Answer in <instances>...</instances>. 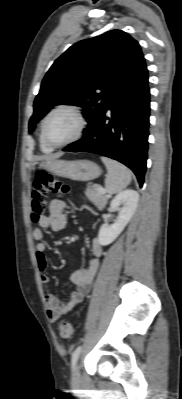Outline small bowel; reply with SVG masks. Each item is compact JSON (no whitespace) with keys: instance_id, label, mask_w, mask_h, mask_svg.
Instances as JSON below:
<instances>
[{"instance_id":"c3829d8e","label":"small bowel","mask_w":182,"mask_h":399,"mask_svg":"<svg viewBox=\"0 0 182 399\" xmlns=\"http://www.w3.org/2000/svg\"><path fill=\"white\" fill-rule=\"evenodd\" d=\"M65 207L63 200L55 198L50 201L49 212L39 221V226L33 230V238L36 244V261L41 271L40 280L43 284H49L51 278L46 274L48 268L47 244L44 242L45 229L51 228L54 231H61L65 228ZM102 255V246L97 238L90 242V258L87 264L75 270L71 275V282L76 287L72 291L66 302L62 303L54 294H46L45 302L47 306L48 320L52 323L69 313L74 307L78 306L84 296L89 292L91 284L97 272L99 261Z\"/></svg>"}]
</instances>
